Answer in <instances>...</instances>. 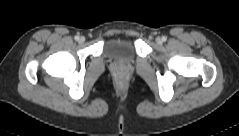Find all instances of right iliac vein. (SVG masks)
<instances>
[{"label":"right iliac vein","mask_w":239,"mask_h":136,"mask_svg":"<svg viewBox=\"0 0 239 136\" xmlns=\"http://www.w3.org/2000/svg\"><path fill=\"white\" fill-rule=\"evenodd\" d=\"M84 42H85V37H83V36H82V37H80V39H79V43H81V44H82V43H84Z\"/></svg>","instance_id":"63e3f726"}]
</instances>
